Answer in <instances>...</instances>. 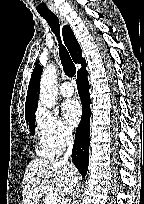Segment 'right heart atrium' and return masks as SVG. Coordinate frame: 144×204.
<instances>
[{
	"label": "right heart atrium",
	"mask_w": 144,
	"mask_h": 204,
	"mask_svg": "<svg viewBox=\"0 0 144 204\" xmlns=\"http://www.w3.org/2000/svg\"><path fill=\"white\" fill-rule=\"evenodd\" d=\"M36 121L41 141L56 153L61 152L71 142L72 130L57 112L40 108Z\"/></svg>",
	"instance_id": "obj_1"
}]
</instances>
